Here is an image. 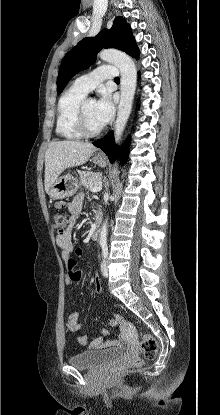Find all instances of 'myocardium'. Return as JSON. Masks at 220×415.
Returning a JSON list of instances; mask_svg holds the SVG:
<instances>
[{
  "label": "myocardium",
  "instance_id": "1",
  "mask_svg": "<svg viewBox=\"0 0 220 415\" xmlns=\"http://www.w3.org/2000/svg\"><path fill=\"white\" fill-rule=\"evenodd\" d=\"M90 100L84 99L78 106L76 113H75V127L78 132L87 138L97 137L103 131V126L97 130H90L86 123L85 117V107L87 102Z\"/></svg>",
  "mask_w": 220,
  "mask_h": 415
}]
</instances>
